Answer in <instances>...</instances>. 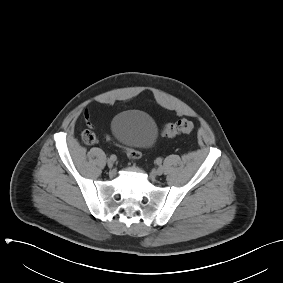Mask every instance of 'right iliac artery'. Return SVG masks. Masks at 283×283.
Segmentation results:
<instances>
[{"instance_id":"82829eb1","label":"right iliac artery","mask_w":283,"mask_h":283,"mask_svg":"<svg viewBox=\"0 0 283 283\" xmlns=\"http://www.w3.org/2000/svg\"><path fill=\"white\" fill-rule=\"evenodd\" d=\"M116 159H117L116 155H111L110 156V160H112L113 162L116 161Z\"/></svg>"}]
</instances>
